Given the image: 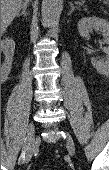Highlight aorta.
Instances as JSON below:
<instances>
[{
    "label": "aorta",
    "mask_w": 109,
    "mask_h": 170,
    "mask_svg": "<svg viewBox=\"0 0 109 170\" xmlns=\"http://www.w3.org/2000/svg\"><path fill=\"white\" fill-rule=\"evenodd\" d=\"M59 0H42L41 14L46 27H50L55 21Z\"/></svg>",
    "instance_id": "762f6f07"
}]
</instances>
